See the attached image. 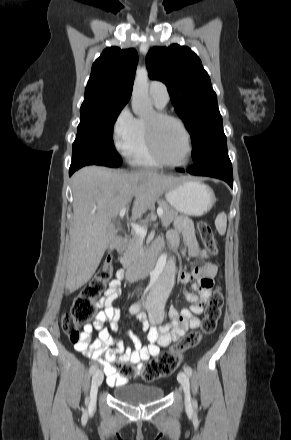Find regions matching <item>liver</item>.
<instances>
[{
    "label": "liver",
    "mask_w": 291,
    "mask_h": 440,
    "mask_svg": "<svg viewBox=\"0 0 291 440\" xmlns=\"http://www.w3.org/2000/svg\"><path fill=\"white\" fill-rule=\"evenodd\" d=\"M181 178L153 170L131 173L87 166L72 177L73 222L66 288L70 293L94 275L107 248L118 243L113 220L134 198L131 218H142Z\"/></svg>",
    "instance_id": "obj_1"
}]
</instances>
